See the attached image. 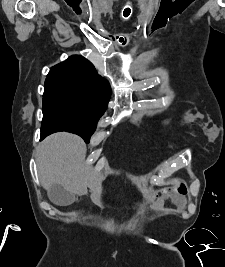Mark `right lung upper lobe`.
<instances>
[{"instance_id":"right-lung-upper-lobe-1","label":"right lung upper lobe","mask_w":225,"mask_h":267,"mask_svg":"<svg viewBox=\"0 0 225 267\" xmlns=\"http://www.w3.org/2000/svg\"><path fill=\"white\" fill-rule=\"evenodd\" d=\"M45 83H62L85 90L93 100L106 107L111 95L109 83L86 58L73 55L52 67Z\"/></svg>"}]
</instances>
